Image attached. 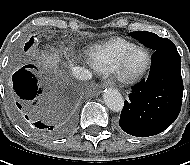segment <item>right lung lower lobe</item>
Masks as SVG:
<instances>
[{
    "label": "right lung lower lobe",
    "instance_id": "1",
    "mask_svg": "<svg viewBox=\"0 0 190 165\" xmlns=\"http://www.w3.org/2000/svg\"><path fill=\"white\" fill-rule=\"evenodd\" d=\"M30 68H35V66L26 65L18 70L12 77L15 97L13 108L19 121L48 136L56 137L64 135L70 129V122H72L71 117L67 119L66 123L59 126H53L43 123L38 116L36 107H31L35 97L41 93V89H38L36 85V78L30 71L26 70Z\"/></svg>",
    "mask_w": 190,
    "mask_h": 165
}]
</instances>
